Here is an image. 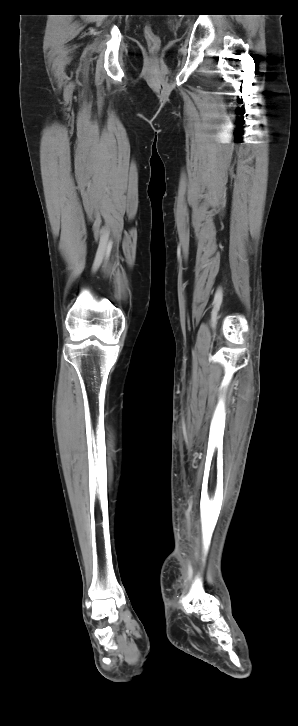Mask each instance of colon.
Here are the masks:
<instances>
[{
  "mask_svg": "<svg viewBox=\"0 0 298 726\" xmlns=\"http://www.w3.org/2000/svg\"><path fill=\"white\" fill-rule=\"evenodd\" d=\"M144 35H145V38L147 40L149 47L152 50H156L160 45L159 37L153 32V30L150 27H145Z\"/></svg>",
  "mask_w": 298,
  "mask_h": 726,
  "instance_id": "1",
  "label": "colon"
}]
</instances>
